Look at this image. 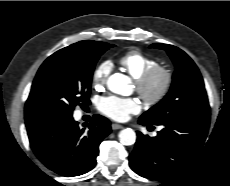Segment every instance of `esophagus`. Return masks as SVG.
Returning <instances> with one entry per match:
<instances>
[{"mask_svg": "<svg viewBox=\"0 0 230 186\" xmlns=\"http://www.w3.org/2000/svg\"><path fill=\"white\" fill-rule=\"evenodd\" d=\"M111 127H112L113 130H118V129H122L123 128L122 125L117 124V123H113Z\"/></svg>", "mask_w": 230, "mask_h": 186, "instance_id": "obj_1", "label": "esophagus"}]
</instances>
